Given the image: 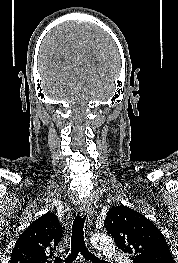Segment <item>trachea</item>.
<instances>
[{"instance_id": "3493384b", "label": "trachea", "mask_w": 178, "mask_h": 263, "mask_svg": "<svg viewBox=\"0 0 178 263\" xmlns=\"http://www.w3.org/2000/svg\"><path fill=\"white\" fill-rule=\"evenodd\" d=\"M87 215L77 217L73 221L72 225V236H71V253L67 256L65 260L56 258L55 263H73L78 257L79 252L83 255L85 260L91 261L92 263H108L105 260H100L94 254H92L85 245L84 240V222Z\"/></svg>"}]
</instances>
